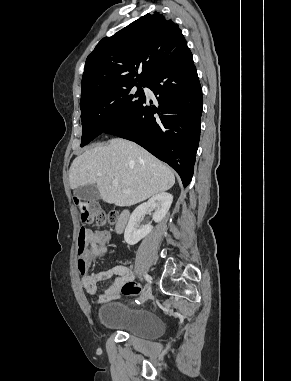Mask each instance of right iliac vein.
<instances>
[{
  "label": "right iliac vein",
  "instance_id": "right-iliac-vein-1",
  "mask_svg": "<svg viewBox=\"0 0 291 381\" xmlns=\"http://www.w3.org/2000/svg\"><path fill=\"white\" fill-rule=\"evenodd\" d=\"M151 293H152L151 287L149 286L146 288L145 292L141 296V298L139 300V304H143L144 302H146L149 299V297L151 296Z\"/></svg>",
  "mask_w": 291,
  "mask_h": 381
}]
</instances>
